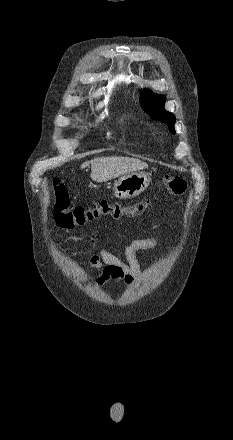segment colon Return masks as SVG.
<instances>
[{
  "label": "colon",
  "mask_w": 233,
  "mask_h": 440,
  "mask_svg": "<svg viewBox=\"0 0 233 440\" xmlns=\"http://www.w3.org/2000/svg\"><path fill=\"white\" fill-rule=\"evenodd\" d=\"M162 188L174 195H182L186 188V181L179 176L163 175L159 179ZM50 187L54 195L53 216L56 224L65 229L85 226L87 223L103 216L119 219L123 216L135 217L144 212L151 202L150 198H144L132 205H122L117 202L101 200L88 206H70V199L65 186L58 180L53 179Z\"/></svg>",
  "instance_id": "1"
}]
</instances>
